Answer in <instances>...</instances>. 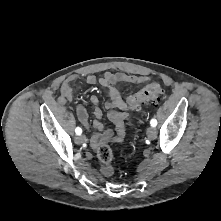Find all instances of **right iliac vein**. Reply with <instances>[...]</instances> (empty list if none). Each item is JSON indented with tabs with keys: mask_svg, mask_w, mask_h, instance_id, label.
<instances>
[{
	"mask_svg": "<svg viewBox=\"0 0 221 221\" xmlns=\"http://www.w3.org/2000/svg\"><path fill=\"white\" fill-rule=\"evenodd\" d=\"M86 141V137L84 135H79L75 138V142L77 144H82Z\"/></svg>",
	"mask_w": 221,
	"mask_h": 221,
	"instance_id": "63e3f726",
	"label": "right iliac vein"
}]
</instances>
